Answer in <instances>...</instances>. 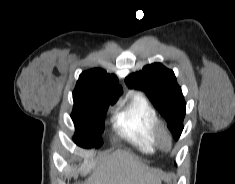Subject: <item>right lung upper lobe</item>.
Returning a JSON list of instances; mask_svg holds the SVG:
<instances>
[{"instance_id": "right-lung-upper-lobe-1", "label": "right lung upper lobe", "mask_w": 235, "mask_h": 184, "mask_svg": "<svg viewBox=\"0 0 235 184\" xmlns=\"http://www.w3.org/2000/svg\"><path fill=\"white\" fill-rule=\"evenodd\" d=\"M122 92V87L114 74L95 68L80 75L73 95L89 106H105L114 104Z\"/></svg>"}]
</instances>
